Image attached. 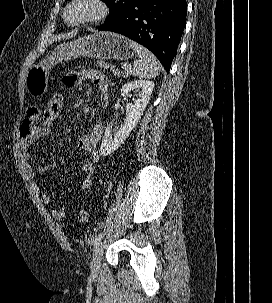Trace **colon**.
Returning a JSON list of instances; mask_svg holds the SVG:
<instances>
[{"mask_svg":"<svg viewBox=\"0 0 272 303\" xmlns=\"http://www.w3.org/2000/svg\"><path fill=\"white\" fill-rule=\"evenodd\" d=\"M97 66L101 71L107 72L114 77L122 75L121 69L113 62L106 59L97 60ZM63 108V96L61 93H54L49 99L44 113L40 119L39 126L44 132L52 133L58 126ZM89 212L81 209L78 213V221L84 222L88 219Z\"/></svg>","mask_w":272,"mask_h":303,"instance_id":"obj_1","label":"colon"}]
</instances>
